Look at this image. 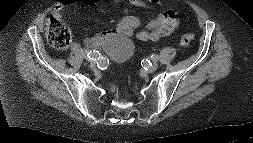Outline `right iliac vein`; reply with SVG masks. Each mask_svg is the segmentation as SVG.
<instances>
[{
	"mask_svg": "<svg viewBox=\"0 0 253 143\" xmlns=\"http://www.w3.org/2000/svg\"><path fill=\"white\" fill-rule=\"evenodd\" d=\"M90 67H91V69H95L96 68V63L94 61H92L90 63Z\"/></svg>",
	"mask_w": 253,
	"mask_h": 143,
	"instance_id": "right-iliac-vein-1",
	"label": "right iliac vein"
}]
</instances>
